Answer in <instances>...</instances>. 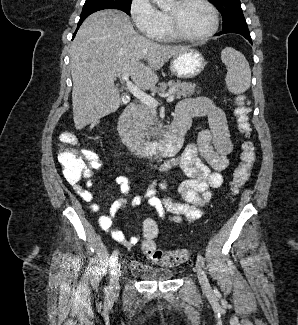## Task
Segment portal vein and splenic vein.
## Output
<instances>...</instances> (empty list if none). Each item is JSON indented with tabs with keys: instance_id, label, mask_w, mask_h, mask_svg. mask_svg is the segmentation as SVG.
I'll return each instance as SVG.
<instances>
[{
	"instance_id": "1",
	"label": "portal vein and splenic vein",
	"mask_w": 298,
	"mask_h": 325,
	"mask_svg": "<svg viewBox=\"0 0 298 325\" xmlns=\"http://www.w3.org/2000/svg\"><path fill=\"white\" fill-rule=\"evenodd\" d=\"M122 80H125L126 86L130 92H132L133 96H136V98H139L140 102H144V104H149V106H158L160 104L159 100L157 98H154V96H150V94H147V92H143V90H140L136 84H133L132 80H129V74L128 72H123L122 74ZM161 96H167L166 102H172L175 98V94L173 92H168V94H161Z\"/></svg>"
}]
</instances>
